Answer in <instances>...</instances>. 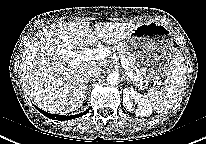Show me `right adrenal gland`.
I'll return each mask as SVG.
<instances>
[{"label": "right adrenal gland", "mask_w": 206, "mask_h": 144, "mask_svg": "<svg viewBox=\"0 0 206 144\" xmlns=\"http://www.w3.org/2000/svg\"><path fill=\"white\" fill-rule=\"evenodd\" d=\"M91 82V81H90ZM89 89V86H88V82H87V85H86V93H87V90Z\"/></svg>", "instance_id": "1"}]
</instances>
